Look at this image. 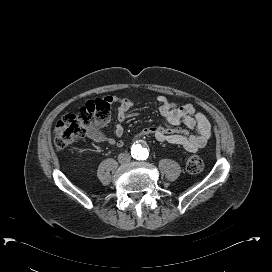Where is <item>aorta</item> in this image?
<instances>
[{"mask_svg":"<svg viewBox=\"0 0 272 272\" xmlns=\"http://www.w3.org/2000/svg\"><path fill=\"white\" fill-rule=\"evenodd\" d=\"M132 153L134 154V157L139 160L145 159L149 154L148 149L141 143L132 146Z\"/></svg>","mask_w":272,"mask_h":272,"instance_id":"aorta-1","label":"aorta"}]
</instances>
